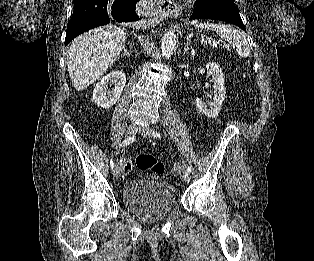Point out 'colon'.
<instances>
[{
  "instance_id": "colon-1",
  "label": "colon",
  "mask_w": 314,
  "mask_h": 261,
  "mask_svg": "<svg viewBox=\"0 0 314 261\" xmlns=\"http://www.w3.org/2000/svg\"><path fill=\"white\" fill-rule=\"evenodd\" d=\"M136 166L140 171L150 172V178L155 179L164 172L163 163L156 157L149 154H141L136 158ZM181 164H175L172 168L174 175H179L182 171Z\"/></svg>"
}]
</instances>
